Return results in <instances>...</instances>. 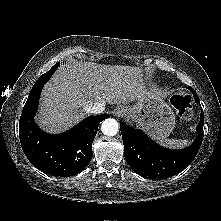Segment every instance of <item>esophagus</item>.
Instances as JSON below:
<instances>
[{"instance_id": "obj_1", "label": "esophagus", "mask_w": 221, "mask_h": 221, "mask_svg": "<svg viewBox=\"0 0 221 221\" xmlns=\"http://www.w3.org/2000/svg\"><path fill=\"white\" fill-rule=\"evenodd\" d=\"M115 115L118 116V117L124 116V115H126V111L122 108L121 109L119 108L115 111Z\"/></svg>"}]
</instances>
